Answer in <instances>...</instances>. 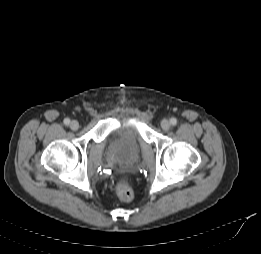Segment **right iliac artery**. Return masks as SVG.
Masks as SVG:
<instances>
[{"instance_id": "1", "label": "right iliac artery", "mask_w": 261, "mask_h": 254, "mask_svg": "<svg viewBox=\"0 0 261 254\" xmlns=\"http://www.w3.org/2000/svg\"><path fill=\"white\" fill-rule=\"evenodd\" d=\"M64 124L65 125H69L70 124V119L69 118H65L64 119Z\"/></svg>"}]
</instances>
